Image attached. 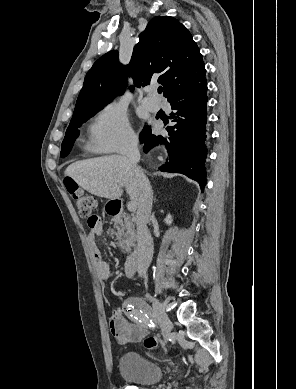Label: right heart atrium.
<instances>
[{
    "label": "right heart atrium",
    "instance_id": "d8ad5b80",
    "mask_svg": "<svg viewBox=\"0 0 296 389\" xmlns=\"http://www.w3.org/2000/svg\"><path fill=\"white\" fill-rule=\"evenodd\" d=\"M90 139L92 148L102 153L125 152L137 141L125 111L114 103L97 113L90 127Z\"/></svg>",
    "mask_w": 296,
    "mask_h": 389
}]
</instances>
